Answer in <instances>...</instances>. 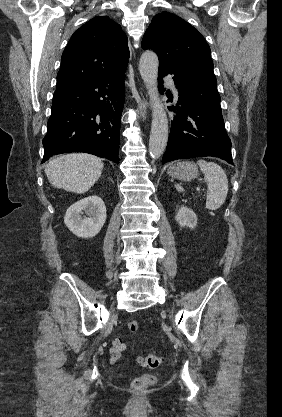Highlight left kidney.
<instances>
[{"label":"left kidney","mask_w":282,"mask_h":417,"mask_svg":"<svg viewBox=\"0 0 282 417\" xmlns=\"http://www.w3.org/2000/svg\"><path fill=\"white\" fill-rule=\"evenodd\" d=\"M180 227H189V229H195L197 227V215H195L192 209H188V206H180V209L175 217Z\"/></svg>","instance_id":"obj_1"}]
</instances>
